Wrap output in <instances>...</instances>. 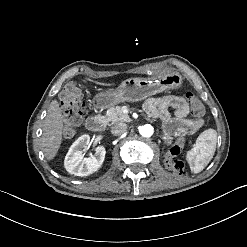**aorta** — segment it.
<instances>
[{
    "label": "aorta",
    "mask_w": 247,
    "mask_h": 247,
    "mask_svg": "<svg viewBox=\"0 0 247 247\" xmlns=\"http://www.w3.org/2000/svg\"><path fill=\"white\" fill-rule=\"evenodd\" d=\"M154 133V128L150 124H145L140 127V134L143 137H151Z\"/></svg>",
    "instance_id": "762f6f07"
}]
</instances>
